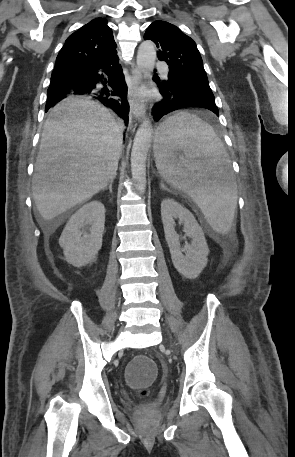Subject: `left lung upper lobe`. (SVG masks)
<instances>
[{"mask_svg":"<svg viewBox=\"0 0 295 457\" xmlns=\"http://www.w3.org/2000/svg\"><path fill=\"white\" fill-rule=\"evenodd\" d=\"M144 39L156 44L159 60L169 65L172 76L167 82H162L164 86L174 80L187 90H211L196 43L177 26L165 21H154L147 28Z\"/></svg>","mask_w":295,"mask_h":457,"instance_id":"1","label":"left lung upper lobe"}]
</instances>
